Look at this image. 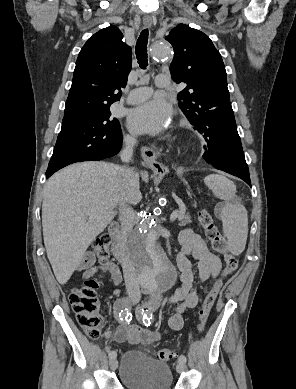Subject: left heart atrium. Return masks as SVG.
Returning a JSON list of instances; mask_svg holds the SVG:
<instances>
[{"instance_id": "left-heart-atrium-1", "label": "left heart atrium", "mask_w": 296, "mask_h": 389, "mask_svg": "<svg viewBox=\"0 0 296 389\" xmlns=\"http://www.w3.org/2000/svg\"><path fill=\"white\" fill-rule=\"evenodd\" d=\"M172 116L170 103L161 97L132 108L128 113V127L136 134H155L168 127Z\"/></svg>"}]
</instances>
